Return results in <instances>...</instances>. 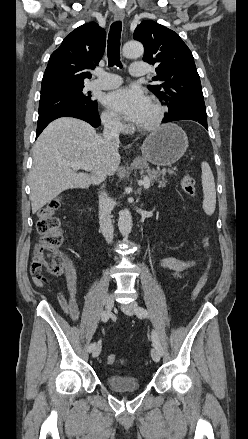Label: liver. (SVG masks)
Wrapping results in <instances>:
<instances>
[{"label": "liver", "mask_w": 248, "mask_h": 439, "mask_svg": "<svg viewBox=\"0 0 248 439\" xmlns=\"http://www.w3.org/2000/svg\"><path fill=\"white\" fill-rule=\"evenodd\" d=\"M118 149L119 143L107 142L82 120L63 117L51 122L33 147L29 174L32 212L65 190L86 189L115 174L121 161ZM68 162L88 164L91 173H78Z\"/></svg>", "instance_id": "liver-1"}]
</instances>
